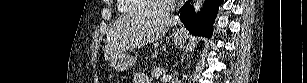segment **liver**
I'll return each mask as SVG.
<instances>
[{
	"label": "liver",
	"mask_w": 307,
	"mask_h": 83,
	"mask_svg": "<svg viewBox=\"0 0 307 83\" xmlns=\"http://www.w3.org/2000/svg\"><path fill=\"white\" fill-rule=\"evenodd\" d=\"M177 23V19L162 14L143 12L119 18L109 29L104 57L109 60L126 49L151 44Z\"/></svg>",
	"instance_id": "1"
}]
</instances>
